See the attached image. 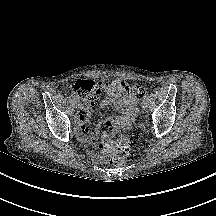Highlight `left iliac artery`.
<instances>
[{"label":"left iliac artery","instance_id":"1","mask_svg":"<svg viewBox=\"0 0 216 216\" xmlns=\"http://www.w3.org/2000/svg\"><path fill=\"white\" fill-rule=\"evenodd\" d=\"M144 99H149V96H148V95H146V96L144 97Z\"/></svg>","mask_w":216,"mask_h":216}]
</instances>
